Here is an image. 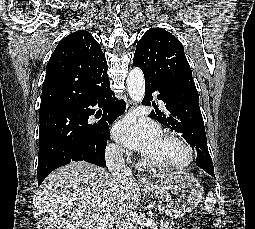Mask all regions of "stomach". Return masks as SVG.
Segmentation results:
<instances>
[{
	"instance_id": "stomach-1",
	"label": "stomach",
	"mask_w": 255,
	"mask_h": 229,
	"mask_svg": "<svg viewBox=\"0 0 255 229\" xmlns=\"http://www.w3.org/2000/svg\"><path fill=\"white\" fill-rule=\"evenodd\" d=\"M145 190L165 200V213L178 219L193 210L201 201L203 188L198 180L188 172L170 174L165 180Z\"/></svg>"
}]
</instances>
